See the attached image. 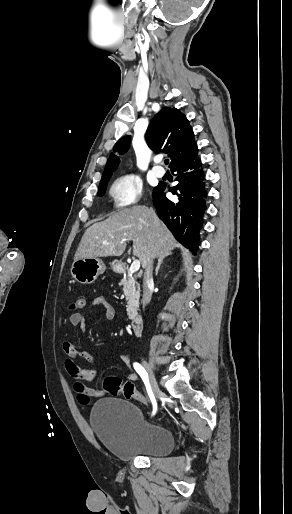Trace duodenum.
Segmentation results:
<instances>
[{
    "instance_id": "1",
    "label": "duodenum",
    "mask_w": 292,
    "mask_h": 514,
    "mask_svg": "<svg viewBox=\"0 0 292 514\" xmlns=\"http://www.w3.org/2000/svg\"><path fill=\"white\" fill-rule=\"evenodd\" d=\"M131 330L134 334H138L140 332V329L142 327V319L139 316H134L131 319Z\"/></svg>"
}]
</instances>
